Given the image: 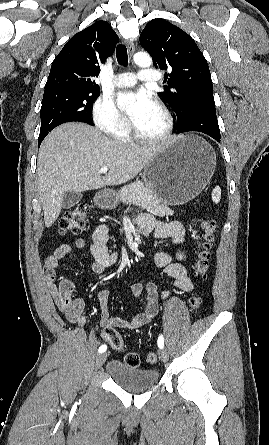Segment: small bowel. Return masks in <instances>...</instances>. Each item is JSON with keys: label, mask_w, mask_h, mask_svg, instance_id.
Here are the masks:
<instances>
[{"label": "small bowel", "mask_w": 269, "mask_h": 445, "mask_svg": "<svg viewBox=\"0 0 269 445\" xmlns=\"http://www.w3.org/2000/svg\"><path fill=\"white\" fill-rule=\"evenodd\" d=\"M137 223L144 235L152 233L158 239L170 238L176 244H185V231L180 222L173 221L165 223L156 221L147 215H140ZM107 241L108 227L106 225L97 227L93 232V240L90 246V253L93 257L92 270L96 275H101L108 268H111L118 258L117 253L108 250ZM74 246L78 250H84L87 248V243L84 239H77ZM71 250L72 246L70 244L58 246L46 259V267L55 268ZM185 258L186 253L184 248H181L175 257L164 252H159L155 255V264L164 270L177 288L188 293L192 291L193 283L188 275L187 269L183 265ZM48 288L54 302L65 318L72 324L83 326L86 323L84 300L81 298L72 299L71 292L65 293L60 287L57 288L53 284H49ZM143 290L146 291L147 295V308L144 312L135 314L131 319L110 317L109 291L103 289L96 293V299L100 304L99 317L100 325L103 328L102 335L104 339H106L107 330H114V328L133 330L149 323L158 311L159 300H165L169 295V291L159 293L157 286L151 282L145 286L139 282H132L130 284V291L136 300L141 297Z\"/></svg>", "instance_id": "c3829d8e"}]
</instances>
